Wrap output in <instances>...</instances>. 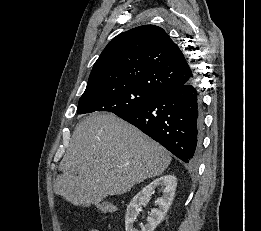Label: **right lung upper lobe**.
<instances>
[{"mask_svg":"<svg viewBox=\"0 0 261 231\" xmlns=\"http://www.w3.org/2000/svg\"><path fill=\"white\" fill-rule=\"evenodd\" d=\"M194 78L182 51L155 25H143L116 36L91 71L84 94L139 87L156 96Z\"/></svg>","mask_w":261,"mask_h":231,"instance_id":"1","label":"right lung upper lobe"}]
</instances>
